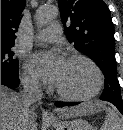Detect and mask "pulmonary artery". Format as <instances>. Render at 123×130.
Returning a JSON list of instances; mask_svg holds the SVG:
<instances>
[{"instance_id":"obj_1","label":"pulmonary artery","mask_w":123,"mask_h":130,"mask_svg":"<svg viewBox=\"0 0 123 130\" xmlns=\"http://www.w3.org/2000/svg\"><path fill=\"white\" fill-rule=\"evenodd\" d=\"M60 35L61 27L58 24H51L39 32L36 40L39 42H54L59 39Z\"/></svg>"}]
</instances>
